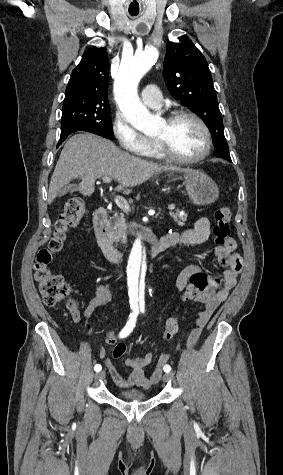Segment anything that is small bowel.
Segmentation results:
<instances>
[{"label":"small bowel","instance_id":"small-bowel-1","mask_svg":"<svg viewBox=\"0 0 283 475\" xmlns=\"http://www.w3.org/2000/svg\"><path fill=\"white\" fill-rule=\"evenodd\" d=\"M169 244L167 247L181 245H201L210 237V223L207 218H199L192 228H188L182 232H174L168 235ZM236 241L230 238L225 244L215 248L214 254L221 266L225 268L222 278L208 274L211 285L207 289L205 296H196V301L203 304V308L198 311L194 321V325L190 330L188 338V346L193 347L198 341L203 328L216 311L219 305L224 302L231 291L237 284L238 277L243 269V261L241 256L236 253ZM193 267H186L177 277L176 288L179 291L184 289V279L187 274H192ZM110 290L108 286H99L96 298L89 304L85 312V318L89 319L95 309L110 299ZM109 344L112 346L111 357L106 356L105 350H101L100 357L105 359L108 373L113 382L120 388L130 386H141L148 388L159 382L162 377L163 369L168 362H156L154 371L147 375L144 371L145 367L150 365L156 358L155 354L148 353L140 357L126 358L124 364L131 369L127 375L120 373L112 363V358H120L126 351V346L122 343H115L112 333H109Z\"/></svg>","mask_w":283,"mask_h":475}]
</instances>
